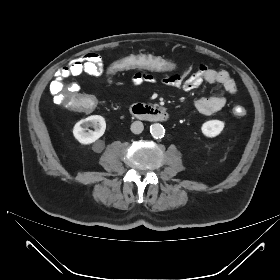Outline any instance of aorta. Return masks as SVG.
<instances>
[{
  "label": "aorta",
  "mask_w": 280,
  "mask_h": 280,
  "mask_svg": "<svg viewBox=\"0 0 280 280\" xmlns=\"http://www.w3.org/2000/svg\"><path fill=\"white\" fill-rule=\"evenodd\" d=\"M150 133L156 139L162 138L165 134V129L161 124L154 123L150 126Z\"/></svg>",
  "instance_id": "1"
}]
</instances>
